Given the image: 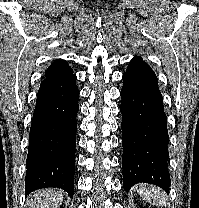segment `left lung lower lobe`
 I'll use <instances>...</instances> for the list:
<instances>
[{
	"label": "left lung lower lobe",
	"mask_w": 199,
	"mask_h": 208,
	"mask_svg": "<svg viewBox=\"0 0 199 208\" xmlns=\"http://www.w3.org/2000/svg\"><path fill=\"white\" fill-rule=\"evenodd\" d=\"M123 81L120 111L124 189L146 182L168 192L169 136L157 77L147 63L135 57L123 74Z\"/></svg>",
	"instance_id": "left-lung-lower-lobe-1"
}]
</instances>
